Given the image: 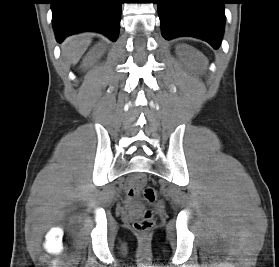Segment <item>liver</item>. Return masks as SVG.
Segmentation results:
<instances>
[{"label":"liver","instance_id":"obj_1","mask_svg":"<svg viewBox=\"0 0 279 267\" xmlns=\"http://www.w3.org/2000/svg\"><path fill=\"white\" fill-rule=\"evenodd\" d=\"M92 41V34L83 33L68 37L62 44V53L73 65L77 64Z\"/></svg>","mask_w":279,"mask_h":267}]
</instances>
